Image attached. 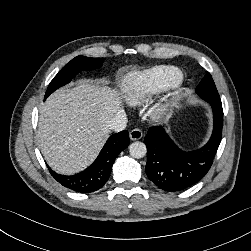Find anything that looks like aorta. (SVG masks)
Returning a JSON list of instances; mask_svg holds the SVG:
<instances>
[{"label": "aorta", "mask_w": 251, "mask_h": 251, "mask_svg": "<svg viewBox=\"0 0 251 251\" xmlns=\"http://www.w3.org/2000/svg\"><path fill=\"white\" fill-rule=\"evenodd\" d=\"M129 152L132 157L139 159L146 155L147 148L144 143L136 141L129 146Z\"/></svg>", "instance_id": "obj_1"}]
</instances>
